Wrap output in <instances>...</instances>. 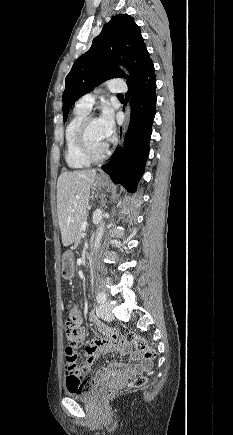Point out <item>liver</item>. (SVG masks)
I'll list each match as a JSON object with an SVG mask.
<instances>
[{"instance_id":"obj_1","label":"liver","mask_w":233,"mask_h":435,"mask_svg":"<svg viewBox=\"0 0 233 435\" xmlns=\"http://www.w3.org/2000/svg\"><path fill=\"white\" fill-rule=\"evenodd\" d=\"M96 170L65 171L57 181V213L64 246L74 242L89 204Z\"/></svg>"}]
</instances>
